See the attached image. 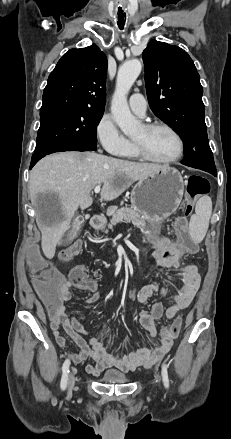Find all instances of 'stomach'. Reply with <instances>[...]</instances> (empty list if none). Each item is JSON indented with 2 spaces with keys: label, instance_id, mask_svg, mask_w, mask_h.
Wrapping results in <instances>:
<instances>
[{
  "label": "stomach",
  "instance_id": "stomach-1",
  "mask_svg": "<svg viewBox=\"0 0 231 439\" xmlns=\"http://www.w3.org/2000/svg\"><path fill=\"white\" fill-rule=\"evenodd\" d=\"M184 191L181 173L172 167H165L140 179L131 191V204L140 214L147 217V236L179 207Z\"/></svg>",
  "mask_w": 231,
  "mask_h": 439
}]
</instances>
